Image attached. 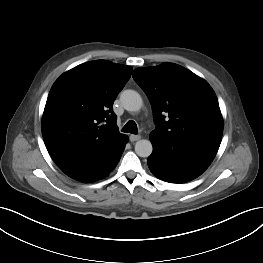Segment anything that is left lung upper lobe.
Listing matches in <instances>:
<instances>
[{
  "label": "left lung upper lobe",
  "mask_w": 263,
  "mask_h": 263,
  "mask_svg": "<svg viewBox=\"0 0 263 263\" xmlns=\"http://www.w3.org/2000/svg\"><path fill=\"white\" fill-rule=\"evenodd\" d=\"M133 78L152 105L156 129L151 134L219 148L223 119L217 97L204 79L173 63L137 68Z\"/></svg>",
  "instance_id": "5c2ea615"
}]
</instances>
